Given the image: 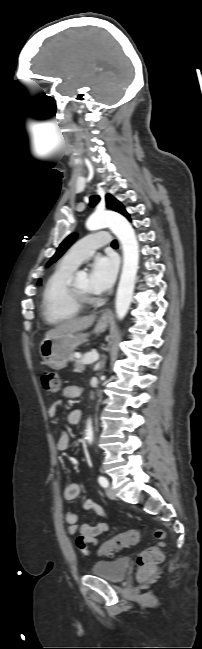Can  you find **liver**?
Returning a JSON list of instances; mask_svg holds the SVG:
<instances>
[{"label":"liver","instance_id":"liver-1","mask_svg":"<svg viewBox=\"0 0 202 649\" xmlns=\"http://www.w3.org/2000/svg\"><path fill=\"white\" fill-rule=\"evenodd\" d=\"M94 321H95L94 315L66 320L63 323L57 325L55 328L46 332L43 340L57 338L58 336L69 332H77V331L85 330L89 328Z\"/></svg>","mask_w":202,"mask_h":649}]
</instances>
